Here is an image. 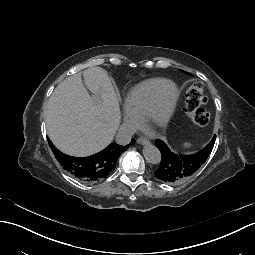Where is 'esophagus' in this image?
Returning a JSON list of instances; mask_svg holds the SVG:
<instances>
[{
	"label": "esophagus",
	"instance_id": "obj_1",
	"mask_svg": "<svg viewBox=\"0 0 255 255\" xmlns=\"http://www.w3.org/2000/svg\"><path fill=\"white\" fill-rule=\"evenodd\" d=\"M137 143L142 144V145H149L150 144V142L146 138H143V137H139L137 139Z\"/></svg>",
	"mask_w": 255,
	"mask_h": 255
}]
</instances>
